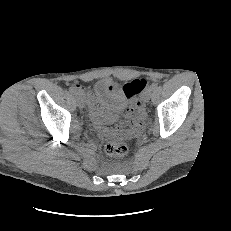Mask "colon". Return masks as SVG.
Masks as SVG:
<instances>
[{
  "mask_svg": "<svg viewBox=\"0 0 231 231\" xmlns=\"http://www.w3.org/2000/svg\"><path fill=\"white\" fill-rule=\"evenodd\" d=\"M145 85V80L136 79L131 81L130 83H127L123 87L124 92L132 99L130 105V108L132 110H135L140 106V100L136 98V96L142 92ZM105 151L110 156L123 157L128 154L129 148L124 142L113 141L106 145Z\"/></svg>",
  "mask_w": 231,
  "mask_h": 231,
  "instance_id": "5ec220e1",
  "label": "colon"
}]
</instances>
